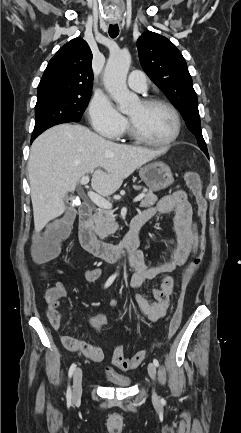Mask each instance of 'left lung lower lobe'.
<instances>
[{
	"instance_id": "0a47b994",
	"label": "left lung lower lobe",
	"mask_w": 241,
	"mask_h": 433,
	"mask_svg": "<svg viewBox=\"0 0 241 433\" xmlns=\"http://www.w3.org/2000/svg\"><path fill=\"white\" fill-rule=\"evenodd\" d=\"M204 153H205V154L207 155V157H208V151H205Z\"/></svg>"
}]
</instances>
